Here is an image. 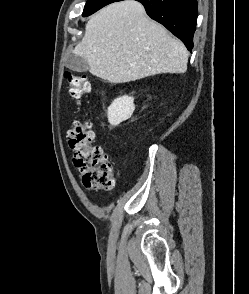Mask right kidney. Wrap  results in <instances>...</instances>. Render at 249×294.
Instances as JSON below:
<instances>
[{"mask_svg": "<svg viewBox=\"0 0 249 294\" xmlns=\"http://www.w3.org/2000/svg\"><path fill=\"white\" fill-rule=\"evenodd\" d=\"M135 110L134 98L131 96H122L115 99L109 106L107 115L111 125L116 126L129 119Z\"/></svg>", "mask_w": 249, "mask_h": 294, "instance_id": "1", "label": "right kidney"}]
</instances>
